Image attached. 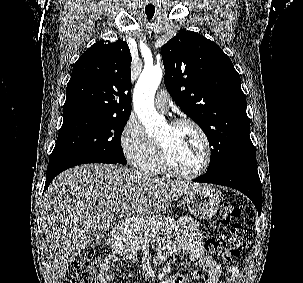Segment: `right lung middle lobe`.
<instances>
[{"mask_svg":"<svg viewBox=\"0 0 303 283\" xmlns=\"http://www.w3.org/2000/svg\"><path fill=\"white\" fill-rule=\"evenodd\" d=\"M128 117L96 114L64 117L49 163L77 158H103L127 164L120 135Z\"/></svg>","mask_w":303,"mask_h":283,"instance_id":"right-lung-middle-lobe-1","label":"right lung middle lobe"}]
</instances>
